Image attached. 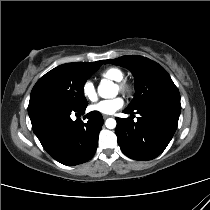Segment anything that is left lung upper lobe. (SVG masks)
I'll list each match as a JSON object with an SVG mask.
<instances>
[{
	"label": "left lung upper lobe",
	"instance_id": "obj_1",
	"mask_svg": "<svg viewBox=\"0 0 210 210\" xmlns=\"http://www.w3.org/2000/svg\"><path fill=\"white\" fill-rule=\"evenodd\" d=\"M106 63L128 68L135 78V95L127 108L135 109L158 100L180 101V94L167 71L155 61L143 56H122Z\"/></svg>",
	"mask_w": 210,
	"mask_h": 210
}]
</instances>
